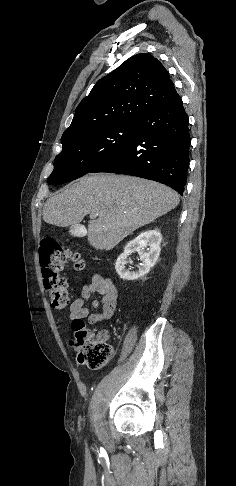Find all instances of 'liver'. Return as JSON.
I'll use <instances>...</instances> for the list:
<instances>
[{
  "mask_svg": "<svg viewBox=\"0 0 236 486\" xmlns=\"http://www.w3.org/2000/svg\"><path fill=\"white\" fill-rule=\"evenodd\" d=\"M171 188L146 179L97 173L86 175L50 197L43 207L46 223L67 227L88 214V241L97 250H111L136 229L179 204Z\"/></svg>",
  "mask_w": 236,
  "mask_h": 486,
  "instance_id": "obj_1",
  "label": "liver"
}]
</instances>
